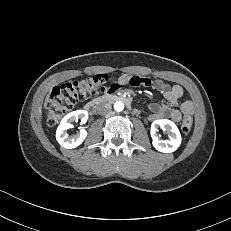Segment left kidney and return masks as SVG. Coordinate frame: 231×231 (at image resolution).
Instances as JSON below:
<instances>
[{
  "mask_svg": "<svg viewBox=\"0 0 231 231\" xmlns=\"http://www.w3.org/2000/svg\"><path fill=\"white\" fill-rule=\"evenodd\" d=\"M158 128L164 129L169 134L168 140H159ZM152 144L155 149L164 153H171L181 144V134L174 122L167 119L155 120L151 125Z\"/></svg>",
  "mask_w": 231,
  "mask_h": 231,
  "instance_id": "obj_1",
  "label": "left kidney"
}]
</instances>
